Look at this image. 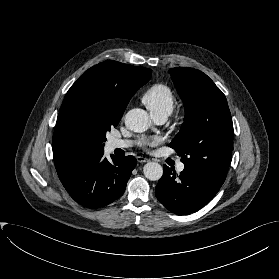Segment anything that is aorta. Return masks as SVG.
Segmentation results:
<instances>
[{
	"mask_svg": "<svg viewBox=\"0 0 279 279\" xmlns=\"http://www.w3.org/2000/svg\"><path fill=\"white\" fill-rule=\"evenodd\" d=\"M125 125L133 132H144L150 125L151 120L147 112L140 108L131 109L125 115ZM144 175L151 181L159 180L163 175V168L157 162H148L143 168Z\"/></svg>",
	"mask_w": 279,
	"mask_h": 279,
	"instance_id": "762f6f07",
	"label": "aorta"
}]
</instances>
